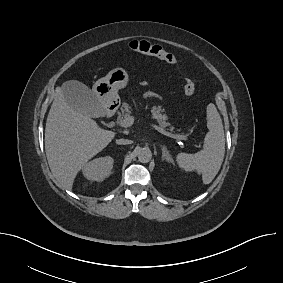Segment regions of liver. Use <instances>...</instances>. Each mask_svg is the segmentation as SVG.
I'll use <instances>...</instances> for the list:
<instances>
[{
    "mask_svg": "<svg viewBox=\"0 0 283 283\" xmlns=\"http://www.w3.org/2000/svg\"><path fill=\"white\" fill-rule=\"evenodd\" d=\"M115 135L100 128L90 116L73 110L62 89H56L46 121L45 152L49 167L63 188L72 189L77 173Z\"/></svg>",
    "mask_w": 283,
    "mask_h": 283,
    "instance_id": "liver-1",
    "label": "liver"
}]
</instances>
